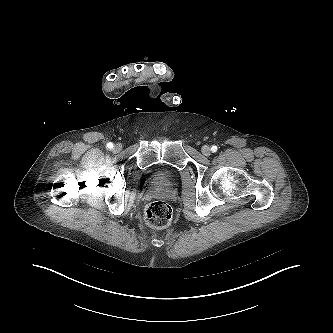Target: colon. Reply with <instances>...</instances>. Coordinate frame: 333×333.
<instances>
[{
	"mask_svg": "<svg viewBox=\"0 0 333 333\" xmlns=\"http://www.w3.org/2000/svg\"><path fill=\"white\" fill-rule=\"evenodd\" d=\"M173 218V209L165 201L151 202L145 209V220L153 228L167 227Z\"/></svg>",
	"mask_w": 333,
	"mask_h": 333,
	"instance_id": "colon-1",
	"label": "colon"
}]
</instances>
